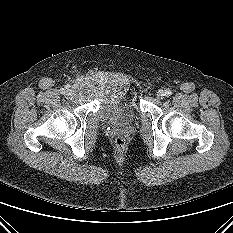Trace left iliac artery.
Segmentation results:
<instances>
[{
    "label": "left iliac artery",
    "mask_w": 233,
    "mask_h": 233,
    "mask_svg": "<svg viewBox=\"0 0 233 233\" xmlns=\"http://www.w3.org/2000/svg\"><path fill=\"white\" fill-rule=\"evenodd\" d=\"M171 94H172L171 90H169V89L165 90V95L167 97L171 96Z\"/></svg>",
    "instance_id": "obj_1"
}]
</instances>
